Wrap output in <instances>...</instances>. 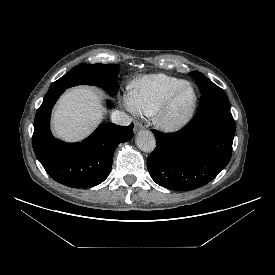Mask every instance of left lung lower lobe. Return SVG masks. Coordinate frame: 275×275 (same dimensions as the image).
Masks as SVG:
<instances>
[{
    "mask_svg": "<svg viewBox=\"0 0 275 275\" xmlns=\"http://www.w3.org/2000/svg\"><path fill=\"white\" fill-rule=\"evenodd\" d=\"M153 134L157 146L147 160L152 179L165 188L188 191L213 180L229 163L235 123L230 112L196 114L175 133Z\"/></svg>",
    "mask_w": 275,
    "mask_h": 275,
    "instance_id": "0a47b994",
    "label": "left lung lower lobe"
}]
</instances>
